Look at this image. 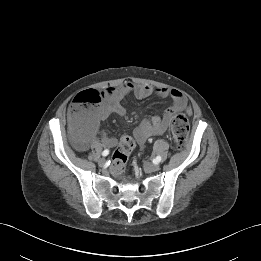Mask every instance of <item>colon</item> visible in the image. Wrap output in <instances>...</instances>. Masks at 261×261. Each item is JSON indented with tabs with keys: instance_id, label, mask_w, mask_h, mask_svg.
Instances as JSON below:
<instances>
[{
	"instance_id": "1",
	"label": "colon",
	"mask_w": 261,
	"mask_h": 261,
	"mask_svg": "<svg viewBox=\"0 0 261 261\" xmlns=\"http://www.w3.org/2000/svg\"><path fill=\"white\" fill-rule=\"evenodd\" d=\"M92 93H84L75 98L70 105L71 123L74 129L79 132L87 128L90 124L94 111ZM99 98L102 95H97ZM171 132L177 148L183 149L188 142L189 122L185 115L178 114L171 123ZM135 141L130 136H123L120 139L119 147L113 155V168L116 172H121L126 165L129 153L133 150Z\"/></svg>"
}]
</instances>
